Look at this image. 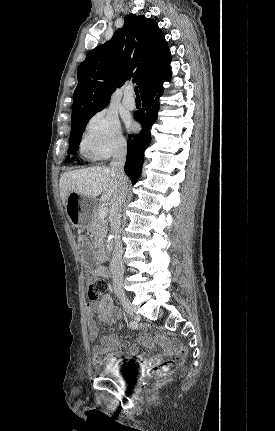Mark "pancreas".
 Wrapping results in <instances>:
<instances>
[{
    "label": "pancreas",
    "instance_id": "cf45deb5",
    "mask_svg": "<svg viewBox=\"0 0 275 431\" xmlns=\"http://www.w3.org/2000/svg\"><path fill=\"white\" fill-rule=\"evenodd\" d=\"M99 209L100 207L97 206L92 210L91 220L88 226V230L91 232V240L95 249L102 248L107 228L106 220L99 216Z\"/></svg>",
    "mask_w": 275,
    "mask_h": 431
}]
</instances>
